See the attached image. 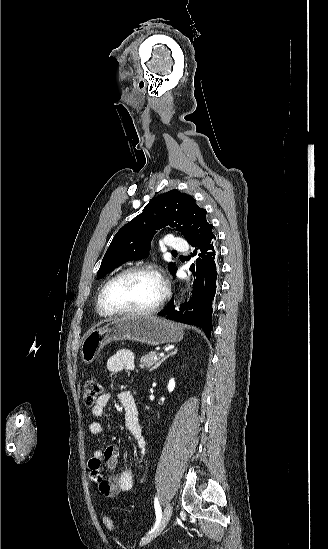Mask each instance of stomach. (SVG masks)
Segmentation results:
<instances>
[{"label": "stomach", "instance_id": "0dacf381", "mask_svg": "<svg viewBox=\"0 0 328 549\" xmlns=\"http://www.w3.org/2000/svg\"><path fill=\"white\" fill-rule=\"evenodd\" d=\"M182 339L184 327L179 323L152 315H126L121 319H111L100 329L88 331L81 343L80 357L83 363L90 365L101 349L112 341H138L154 347L162 343H179Z\"/></svg>", "mask_w": 328, "mask_h": 549}]
</instances>
